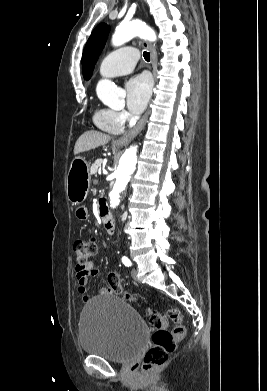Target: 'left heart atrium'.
<instances>
[{"mask_svg": "<svg viewBox=\"0 0 267 391\" xmlns=\"http://www.w3.org/2000/svg\"><path fill=\"white\" fill-rule=\"evenodd\" d=\"M127 108L133 114H140L151 95V81L145 74L130 78L125 85Z\"/></svg>", "mask_w": 267, "mask_h": 391, "instance_id": "obj_1", "label": "left heart atrium"}]
</instances>
